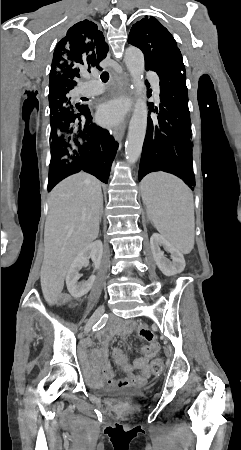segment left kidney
<instances>
[{
	"label": "left kidney",
	"instance_id": "1",
	"mask_svg": "<svg viewBox=\"0 0 241 450\" xmlns=\"http://www.w3.org/2000/svg\"><path fill=\"white\" fill-rule=\"evenodd\" d=\"M150 246L153 258L164 276H175V274L183 272L186 266L183 254L179 250H176V248H173L172 244L167 242L163 236L153 234L150 238ZM161 246H163L166 252H170L172 262L168 258H165L164 252L160 250Z\"/></svg>",
	"mask_w": 241,
	"mask_h": 450
}]
</instances>
